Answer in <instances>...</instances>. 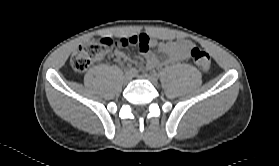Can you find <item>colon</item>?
Wrapping results in <instances>:
<instances>
[{"instance_id":"colon-1","label":"colon","mask_w":279,"mask_h":166,"mask_svg":"<svg viewBox=\"0 0 279 166\" xmlns=\"http://www.w3.org/2000/svg\"><path fill=\"white\" fill-rule=\"evenodd\" d=\"M145 38H91L83 43L72 55L70 63L72 68L77 72H83L88 69L94 62L105 57L112 46L126 47L131 44L144 45ZM190 56L194 64L202 71H208L211 67L210 54L201 49L193 48Z\"/></svg>"}]
</instances>
